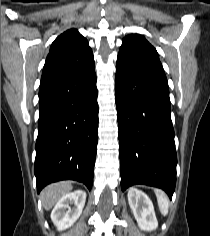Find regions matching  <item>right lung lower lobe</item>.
Segmentation results:
<instances>
[{
    "label": "right lung lower lobe",
    "instance_id": "1",
    "mask_svg": "<svg viewBox=\"0 0 210 236\" xmlns=\"http://www.w3.org/2000/svg\"><path fill=\"white\" fill-rule=\"evenodd\" d=\"M94 66L40 87L34 166L38 193L65 179L92 187L98 139Z\"/></svg>",
    "mask_w": 210,
    "mask_h": 236
}]
</instances>
